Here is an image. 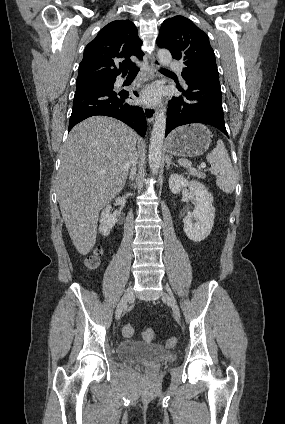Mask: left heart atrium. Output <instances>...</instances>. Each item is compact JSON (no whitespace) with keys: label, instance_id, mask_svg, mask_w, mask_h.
<instances>
[{"label":"left heart atrium","instance_id":"39dd6f15","mask_svg":"<svg viewBox=\"0 0 285 424\" xmlns=\"http://www.w3.org/2000/svg\"><path fill=\"white\" fill-rule=\"evenodd\" d=\"M161 95L162 91L158 86H149L142 91L140 100L145 104L153 105L160 100Z\"/></svg>","mask_w":285,"mask_h":424}]
</instances>
